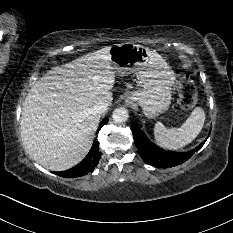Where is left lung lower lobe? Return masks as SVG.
Here are the masks:
<instances>
[{
	"label": "left lung lower lobe",
	"mask_w": 233,
	"mask_h": 233,
	"mask_svg": "<svg viewBox=\"0 0 233 233\" xmlns=\"http://www.w3.org/2000/svg\"><path fill=\"white\" fill-rule=\"evenodd\" d=\"M134 143L138 149L141 158L148 164L162 168L177 166L188 160L198 151L206 142V139L195 149L189 152H170L163 150L150 142L144 132L138 131L132 127Z\"/></svg>",
	"instance_id": "obj_1"
}]
</instances>
